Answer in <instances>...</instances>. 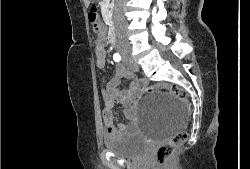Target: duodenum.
<instances>
[{
    "instance_id": "duodenum-1",
    "label": "duodenum",
    "mask_w": 250,
    "mask_h": 169,
    "mask_svg": "<svg viewBox=\"0 0 250 169\" xmlns=\"http://www.w3.org/2000/svg\"><path fill=\"white\" fill-rule=\"evenodd\" d=\"M108 38H109V42H110L112 45H117V44H118L117 39H116V34H115L114 31H110V32H109Z\"/></svg>"
}]
</instances>
